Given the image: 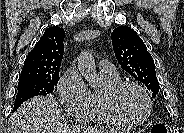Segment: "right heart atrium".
Wrapping results in <instances>:
<instances>
[{"instance_id": "obj_1", "label": "right heart atrium", "mask_w": 184, "mask_h": 133, "mask_svg": "<svg viewBox=\"0 0 184 133\" xmlns=\"http://www.w3.org/2000/svg\"><path fill=\"white\" fill-rule=\"evenodd\" d=\"M57 92L65 113L73 120L87 122L92 112V93L80 73L68 69L60 78Z\"/></svg>"}]
</instances>
